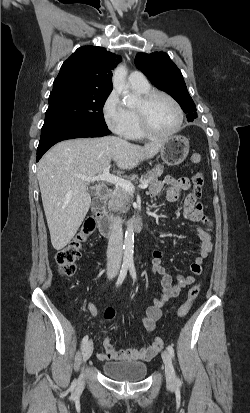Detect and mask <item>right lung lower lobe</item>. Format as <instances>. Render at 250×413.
I'll use <instances>...</instances> for the list:
<instances>
[{
  "mask_svg": "<svg viewBox=\"0 0 250 413\" xmlns=\"http://www.w3.org/2000/svg\"><path fill=\"white\" fill-rule=\"evenodd\" d=\"M108 129L92 127V126H71L58 130L46 137H43L39 141L37 149V161L42 155L55 143L62 140L84 137H102L110 134Z\"/></svg>",
  "mask_w": 250,
  "mask_h": 413,
  "instance_id": "right-lung-lower-lobe-1",
  "label": "right lung lower lobe"
}]
</instances>
